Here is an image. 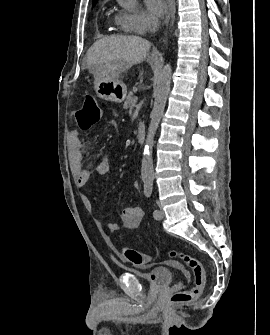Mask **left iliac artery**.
I'll list each match as a JSON object with an SVG mask.
<instances>
[{
	"label": "left iliac artery",
	"instance_id": "obj_1",
	"mask_svg": "<svg viewBox=\"0 0 270 335\" xmlns=\"http://www.w3.org/2000/svg\"><path fill=\"white\" fill-rule=\"evenodd\" d=\"M153 191V181L152 180H146L144 182V194L146 197H150ZM159 214L158 210H154L153 216L156 218Z\"/></svg>",
	"mask_w": 270,
	"mask_h": 335
}]
</instances>
